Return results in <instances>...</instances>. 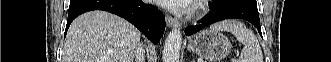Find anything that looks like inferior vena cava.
<instances>
[{
    "label": "inferior vena cava",
    "instance_id": "obj_1",
    "mask_svg": "<svg viewBox=\"0 0 331 62\" xmlns=\"http://www.w3.org/2000/svg\"><path fill=\"white\" fill-rule=\"evenodd\" d=\"M135 59L136 62H143L144 61V48L142 44H138L135 52Z\"/></svg>",
    "mask_w": 331,
    "mask_h": 62
}]
</instances>
